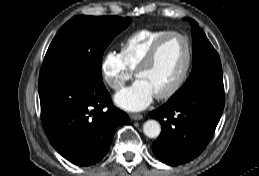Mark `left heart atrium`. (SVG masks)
Listing matches in <instances>:
<instances>
[{
  "label": "left heart atrium",
  "mask_w": 259,
  "mask_h": 176,
  "mask_svg": "<svg viewBox=\"0 0 259 176\" xmlns=\"http://www.w3.org/2000/svg\"><path fill=\"white\" fill-rule=\"evenodd\" d=\"M155 94L144 81L137 79L114 97L116 104L127 111H141L150 105Z\"/></svg>",
  "instance_id": "obj_1"
}]
</instances>
